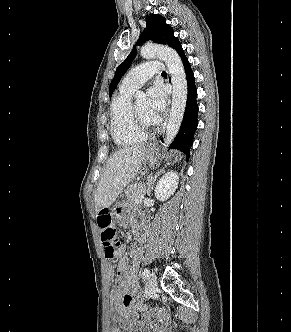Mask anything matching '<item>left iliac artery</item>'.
<instances>
[{
    "label": "left iliac artery",
    "instance_id": "1",
    "mask_svg": "<svg viewBox=\"0 0 291 332\" xmlns=\"http://www.w3.org/2000/svg\"><path fill=\"white\" fill-rule=\"evenodd\" d=\"M149 270L147 269V268H145L144 270H143V276H144V278L145 279H147L148 277H149Z\"/></svg>",
    "mask_w": 291,
    "mask_h": 332
}]
</instances>
